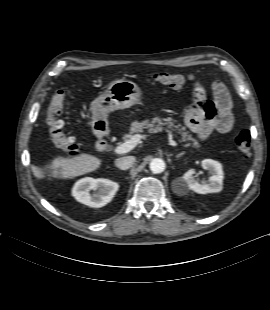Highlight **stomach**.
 Wrapping results in <instances>:
<instances>
[{
  "instance_id": "stomach-1",
  "label": "stomach",
  "mask_w": 270,
  "mask_h": 310,
  "mask_svg": "<svg viewBox=\"0 0 270 310\" xmlns=\"http://www.w3.org/2000/svg\"><path fill=\"white\" fill-rule=\"evenodd\" d=\"M141 94L140 88L132 81L121 79L112 82L91 103L92 126L106 124L108 113L131 107L140 100Z\"/></svg>"
}]
</instances>
